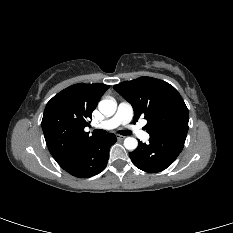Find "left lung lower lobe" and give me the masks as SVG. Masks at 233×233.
Listing matches in <instances>:
<instances>
[{"instance_id": "obj_1", "label": "left lung lower lobe", "mask_w": 233, "mask_h": 233, "mask_svg": "<svg viewBox=\"0 0 233 233\" xmlns=\"http://www.w3.org/2000/svg\"><path fill=\"white\" fill-rule=\"evenodd\" d=\"M186 138L166 137L149 139V144L140 142L129 153L133 164L145 172H160L169 167L183 149Z\"/></svg>"}]
</instances>
